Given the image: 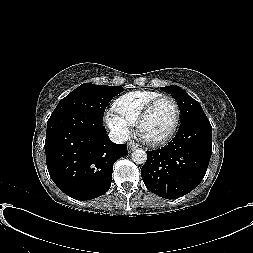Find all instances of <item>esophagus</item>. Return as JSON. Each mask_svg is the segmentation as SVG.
Wrapping results in <instances>:
<instances>
[{
  "label": "esophagus",
  "instance_id": "34e87169",
  "mask_svg": "<svg viewBox=\"0 0 253 253\" xmlns=\"http://www.w3.org/2000/svg\"><path fill=\"white\" fill-rule=\"evenodd\" d=\"M138 148V146L134 143V142H130L129 144H128V151L129 152H132V151H134L135 149H137Z\"/></svg>",
  "mask_w": 253,
  "mask_h": 253
}]
</instances>
